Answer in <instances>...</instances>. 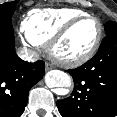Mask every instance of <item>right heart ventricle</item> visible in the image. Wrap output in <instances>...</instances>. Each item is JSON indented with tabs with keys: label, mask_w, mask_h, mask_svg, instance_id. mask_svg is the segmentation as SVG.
<instances>
[{
	"label": "right heart ventricle",
	"mask_w": 117,
	"mask_h": 117,
	"mask_svg": "<svg viewBox=\"0 0 117 117\" xmlns=\"http://www.w3.org/2000/svg\"><path fill=\"white\" fill-rule=\"evenodd\" d=\"M81 15H86V13L76 8L34 10L24 21L25 36L32 44L42 45L67 22Z\"/></svg>",
	"instance_id": "1"
}]
</instances>
